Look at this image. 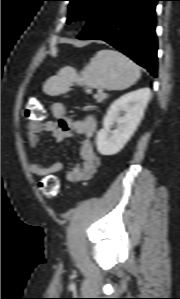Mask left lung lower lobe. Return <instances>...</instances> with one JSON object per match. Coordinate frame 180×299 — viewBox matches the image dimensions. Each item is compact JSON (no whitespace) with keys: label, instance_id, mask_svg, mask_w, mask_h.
Returning <instances> with one entry per match:
<instances>
[{"label":"left lung lower lobe","instance_id":"0a47b994","mask_svg":"<svg viewBox=\"0 0 180 299\" xmlns=\"http://www.w3.org/2000/svg\"><path fill=\"white\" fill-rule=\"evenodd\" d=\"M157 1L160 0H100L78 38L103 40L156 77Z\"/></svg>","mask_w":180,"mask_h":299}]
</instances>
